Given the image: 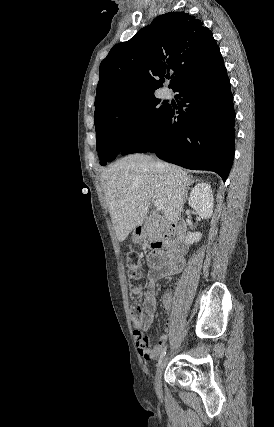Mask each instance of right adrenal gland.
<instances>
[{"label":"right adrenal gland","instance_id":"2a0ac1e0","mask_svg":"<svg viewBox=\"0 0 274 427\" xmlns=\"http://www.w3.org/2000/svg\"><path fill=\"white\" fill-rule=\"evenodd\" d=\"M192 182H200V180H192Z\"/></svg>","mask_w":274,"mask_h":427}]
</instances>
